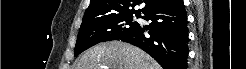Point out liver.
<instances>
[{
  "label": "liver",
  "instance_id": "obj_1",
  "mask_svg": "<svg viewBox=\"0 0 246 69\" xmlns=\"http://www.w3.org/2000/svg\"><path fill=\"white\" fill-rule=\"evenodd\" d=\"M161 69L158 63L141 49L111 41L100 43L87 50L75 69Z\"/></svg>",
  "mask_w": 246,
  "mask_h": 69
}]
</instances>
